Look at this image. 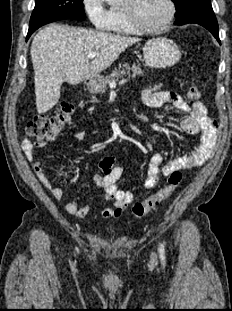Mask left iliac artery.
<instances>
[{
	"mask_svg": "<svg viewBox=\"0 0 232 311\" xmlns=\"http://www.w3.org/2000/svg\"><path fill=\"white\" fill-rule=\"evenodd\" d=\"M158 251L160 254L161 261L163 263H165V249H164V245L162 243L159 244Z\"/></svg>",
	"mask_w": 232,
	"mask_h": 311,
	"instance_id": "44dca946",
	"label": "left iliac artery"
}]
</instances>
